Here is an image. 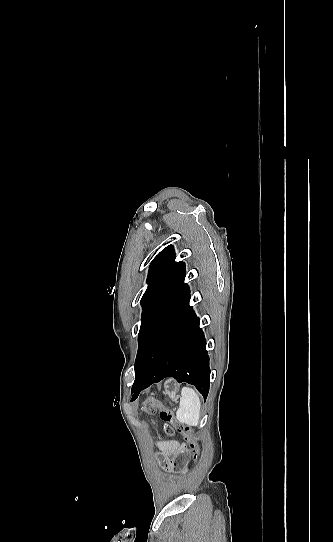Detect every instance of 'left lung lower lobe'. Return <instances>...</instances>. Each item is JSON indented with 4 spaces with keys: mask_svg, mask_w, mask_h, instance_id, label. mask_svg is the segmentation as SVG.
Here are the masks:
<instances>
[{
    "mask_svg": "<svg viewBox=\"0 0 333 542\" xmlns=\"http://www.w3.org/2000/svg\"><path fill=\"white\" fill-rule=\"evenodd\" d=\"M190 296L157 332L132 386L133 399L165 377L193 384L207 398L210 384L206 340L189 305Z\"/></svg>",
    "mask_w": 333,
    "mask_h": 542,
    "instance_id": "obj_1",
    "label": "left lung lower lobe"
}]
</instances>
